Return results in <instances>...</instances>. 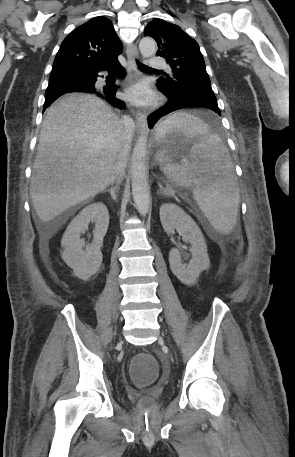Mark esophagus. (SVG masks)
<instances>
[{"label": "esophagus", "mask_w": 295, "mask_h": 457, "mask_svg": "<svg viewBox=\"0 0 295 457\" xmlns=\"http://www.w3.org/2000/svg\"><path fill=\"white\" fill-rule=\"evenodd\" d=\"M128 68L131 72L137 69L136 59L138 58V49L135 44H129L126 50ZM136 129L139 134H147L149 132L147 117L145 114H138L136 117Z\"/></svg>", "instance_id": "esophagus-1"}]
</instances>
